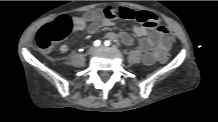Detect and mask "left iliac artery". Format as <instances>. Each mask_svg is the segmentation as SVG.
<instances>
[{
  "label": "left iliac artery",
  "instance_id": "1",
  "mask_svg": "<svg viewBox=\"0 0 218 122\" xmlns=\"http://www.w3.org/2000/svg\"><path fill=\"white\" fill-rule=\"evenodd\" d=\"M104 44H105L106 46H110L111 43H110L109 40H106Z\"/></svg>",
  "mask_w": 218,
  "mask_h": 122
}]
</instances>
